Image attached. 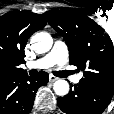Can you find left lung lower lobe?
<instances>
[{
	"instance_id": "left-lung-lower-lobe-1",
	"label": "left lung lower lobe",
	"mask_w": 114,
	"mask_h": 114,
	"mask_svg": "<svg viewBox=\"0 0 114 114\" xmlns=\"http://www.w3.org/2000/svg\"><path fill=\"white\" fill-rule=\"evenodd\" d=\"M113 94L114 88L81 80L68 95L57 98V104L66 114H102Z\"/></svg>"
}]
</instances>
